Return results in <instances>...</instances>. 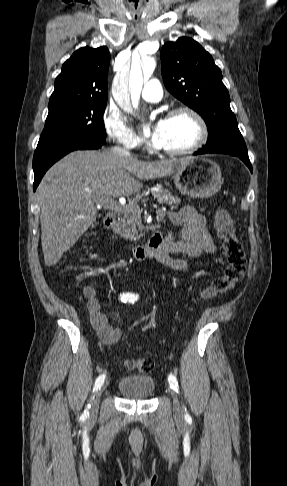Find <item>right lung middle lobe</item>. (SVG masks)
Masks as SVG:
<instances>
[{"instance_id": "dd1d6c3e", "label": "right lung middle lobe", "mask_w": 287, "mask_h": 486, "mask_svg": "<svg viewBox=\"0 0 287 486\" xmlns=\"http://www.w3.org/2000/svg\"><path fill=\"white\" fill-rule=\"evenodd\" d=\"M107 100H83L49 108L37 149L70 143H105Z\"/></svg>"}]
</instances>
